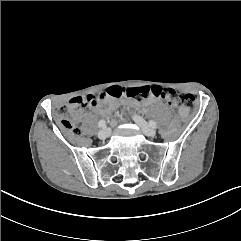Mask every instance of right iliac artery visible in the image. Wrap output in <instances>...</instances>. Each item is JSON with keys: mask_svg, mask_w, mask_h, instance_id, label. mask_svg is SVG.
I'll use <instances>...</instances> for the list:
<instances>
[{"mask_svg": "<svg viewBox=\"0 0 241 241\" xmlns=\"http://www.w3.org/2000/svg\"><path fill=\"white\" fill-rule=\"evenodd\" d=\"M105 126H106L105 120H103V119L100 120L99 123H98V127H99V128H104Z\"/></svg>", "mask_w": 241, "mask_h": 241, "instance_id": "right-iliac-artery-1", "label": "right iliac artery"}]
</instances>
